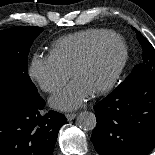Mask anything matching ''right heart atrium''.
Segmentation results:
<instances>
[{
	"instance_id": "obj_1",
	"label": "right heart atrium",
	"mask_w": 155,
	"mask_h": 155,
	"mask_svg": "<svg viewBox=\"0 0 155 155\" xmlns=\"http://www.w3.org/2000/svg\"><path fill=\"white\" fill-rule=\"evenodd\" d=\"M29 73L40 88L47 93L59 92L71 75L50 54H36L31 61Z\"/></svg>"
}]
</instances>
